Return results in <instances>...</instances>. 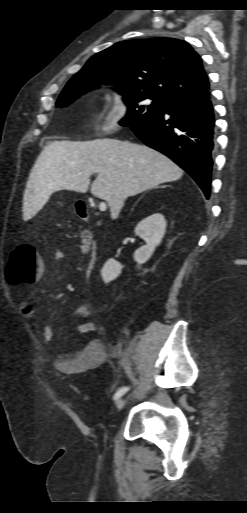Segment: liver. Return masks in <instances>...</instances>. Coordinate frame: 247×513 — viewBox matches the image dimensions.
Segmentation results:
<instances>
[{
    "instance_id": "6515ba94",
    "label": "liver",
    "mask_w": 247,
    "mask_h": 513,
    "mask_svg": "<svg viewBox=\"0 0 247 513\" xmlns=\"http://www.w3.org/2000/svg\"><path fill=\"white\" fill-rule=\"evenodd\" d=\"M91 193L108 203L116 219L126 198L161 183L179 180L183 170L148 146L117 139L55 141L37 158L23 197V215L34 216L55 191Z\"/></svg>"
}]
</instances>
